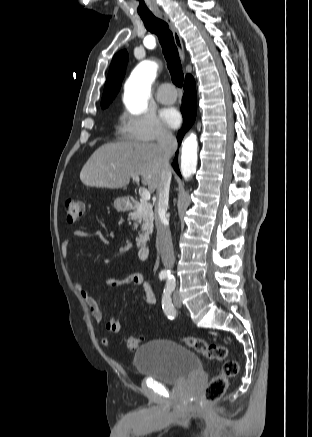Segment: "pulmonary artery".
<instances>
[{
	"instance_id": "pulmonary-artery-1",
	"label": "pulmonary artery",
	"mask_w": 312,
	"mask_h": 437,
	"mask_svg": "<svg viewBox=\"0 0 312 437\" xmlns=\"http://www.w3.org/2000/svg\"><path fill=\"white\" fill-rule=\"evenodd\" d=\"M176 97V92L170 84H162L156 94V99L163 104L173 103Z\"/></svg>"
}]
</instances>
